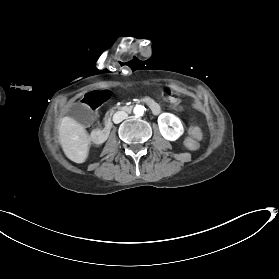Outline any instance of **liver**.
I'll use <instances>...</instances> for the list:
<instances>
[{
  "label": "liver",
  "instance_id": "obj_1",
  "mask_svg": "<svg viewBox=\"0 0 279 279\" xmlns=\"http://www.w3.org/2000/svg\"><path fill=\"white\" fill-rule=\"evenodd\" d=\"M59 139L70 161L77 164L86 161L90 140L81 123L71 117H63L59 126Z\"/></svg>",
  "mask_w": 279,
  "mask_h": 279
}]
</instances>
